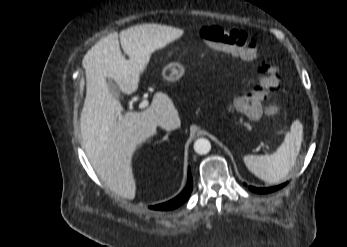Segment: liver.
Masks as SVG:
<instances>
[{"mask_svg": "<svg viewBox=\"0 0 347 247\" xmlns=\"http://www.w3.org/2000/svg\"><path fill=\"white\" fill-rule=\"evenodd\" d=\"M181 29L159 24L136 25L113 32L97 42L84 56L86 98L81 113V134L86 155L101 179L115 193L134 199L136 182L132 157L137 148L156 135L158 122L170 117L180 126L178 111L165 93L154 95L141 112H123L120 101L110 92L107 79L130 95L138 88L140 76L151 53L182 35ZM120 42H119V39ZM129 56L126 60L121 53Z\"/></svg>", "mask_w": 347, "mask_h": 247, "instance_id": "6515ba94", "label": "liver"}]
</instances>
